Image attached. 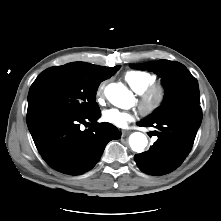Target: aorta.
<instances>
[{
  "mask_svg": "<svg viewBox=\"0 0 221 221\" xmlns=\"http://www.w3.org/2000/svg\"><path fill=\"white\" fill-rule=\"evenodd\" d=\"M107 99L116 107L126 109L132 101L131 92L120 83H111L105 88ZM148 144L147 137L140 132H134L129 137V145L135 152H142Z\"/></svg>",
  "mask_w": 221,
  "mask_h": 221,
  "instance_id": "1",
  "label": "aorta"
}]
</instances>
